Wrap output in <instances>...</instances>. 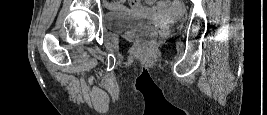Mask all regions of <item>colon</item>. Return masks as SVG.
I'll use <instances>...</instances> for the list:
<instances>
[{
    "label": "colon",
    "mask_w": 267,
    "mask_h": 115,
    "mask_svg": "<svg viewBox=\"0 0 267 115\" xmlns=\"http://www.w3.org/2000/svg\"><path fill=\"white\" fill-rule=\"evenodd\" d=\"M141 41H153L156 38V33L152 30L142 31L137 35Z\"/></svg>",
    "instance_id": "5ec220e1"
}]
</instances>
